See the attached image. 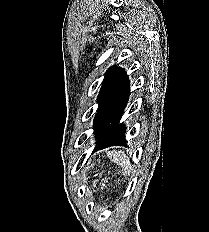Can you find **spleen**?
Wrapping results in <instances>:
<instances>
[{
  "label": "spleen",
  "instance_id": "3e777b00",
  "mask_svg": "<svg viewBox=\"0 0 209 232\" xmlns=\"http://www.w3.org/2000/svg\"><path fill=\"white\" fill-rule=\"evenodd\" d=\"M107 155L112 161L118 164L125 171L126 175L131 174V163L129 157L122 151H108Z\"/></svg>",
  "mask_w": 209,
  "mask_h": 232
}]
</instances>
